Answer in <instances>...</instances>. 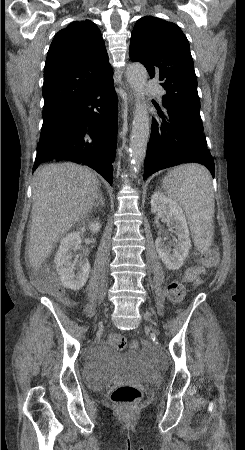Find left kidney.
<instances>
[{"instance_id": "5707ae66", "label": "left kidney", "mask_w": 245, "mask_h": 450, "mask_svg": "<svg viewBox=\"0 0 245 450\" xmlns=\"http://www.w3.org/2000/svg\"><path fill=\"white\" fill-rule=\"evenodd\" d=\"M151 212L159 213L166 217L167 225L177 236L172 247L167 246L161 237L155 241L159 257L169 270H178L191 248L189 228L182 208L172 199L161 192H155L151 197Z\"/></svg>"}]
</instances>
